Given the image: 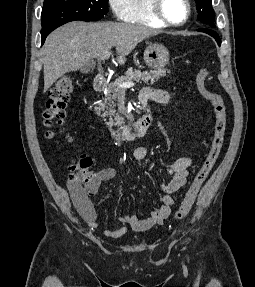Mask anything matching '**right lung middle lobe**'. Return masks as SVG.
I'll use <instances>...</instances> for the list:
<instances>
[{
	"label": "right lung middle lobe",
	"mask_w": 255,
	"mask_h": 287,
	"mask_svg": "<svg viewBox=\"0 0 255 287\" xmlns=\"http://www.w3.org/2000/svg\"><path fill=\"white\" fill-rule=\"evenodd\" d=\"M108 12V0H44L42 30L49 31L70 21H95Z\"/></svg>",
	"instance_id": "obj_1"
}]
</instances>
